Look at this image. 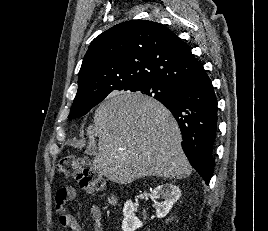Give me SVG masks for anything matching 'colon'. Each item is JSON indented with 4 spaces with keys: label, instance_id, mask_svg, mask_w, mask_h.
I'll return each mask as SVG.
<instances>
[{
    "label": "colon",
    "instance_id": "obj_1",
    "mask_svg": "<svg viewBox=\"0 0 268 231\" xmlns=\"http://www.w3.org/2000/svg\"><path fill=\"white\" fill-rule=\"evenodd\" d=\"M57 171L64 176L74 177L87 192H97L104 187L98 171L85 158L65 155L58 161ZM67 194L66 191L62 192L63 197Z\"/></svg>",
    "mask_w": 268,
    "mask_h": 231
}]
</instances>
